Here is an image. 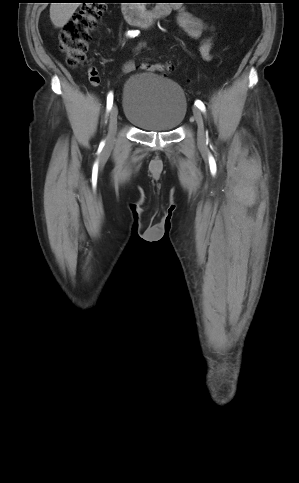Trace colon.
Listing matches in <instances>:
<instances>
[{
    "instance_id": "5ec220e1",
    "label": "colon",
    "mask_w": 299,
    "mask_h": 483,
    "mask_svg": "<svg viewBox=\"0 0 299 483\" xmlns=\"http://www.w3.org/2000/svg\"><path fill=\"white\" fill-rule=\"evenodd\" d=\"M104 3L103 0H93L91 4L77 11L64 25L59 39L61 48L66 53L68 65L75 67L85 62L91 33L106 8ZM139 68L161 75L171 70L169 65L149 62L141 63Z\"/></svg>"
}]
</instances>
